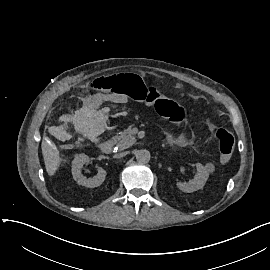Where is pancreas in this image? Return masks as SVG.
I'll return each mask as SVG.
<instances>
[{
    "instance_id": "1",
    "label": "pancreas",
    "mask_w": 270,
    "mask_h": 270,
    "mask_svg": "<svg viewBox=\"0 0 270 270\" xmlns=\"http://www.w3.org/2000/svg\"><path fill=\"white\" fill-rule=\"evenodd\" d=\"M115 138L118 140L117 146L120 150L129 148L136 141L131 134V128L124 130L120 136H115Z\"/></svg>"
}]
</instances>
